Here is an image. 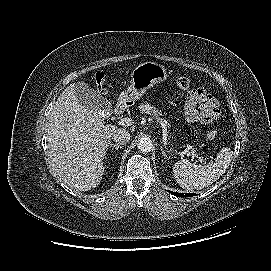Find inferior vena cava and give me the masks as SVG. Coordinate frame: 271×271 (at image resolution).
I'll use <instances>...</instances> for the list:
<instances>
[{
	"label": "inferior vena cava",
	"instance_id": "602c4592",
	"mask_svg": "<svg viewBox=\"0 0 271 271\" xmlns=\"http://www.w3.org/2000/svg\"><path fill=\"white\" fill-rule=\"evenodd\" d=\"M112 139L115 143L124 145L130 140V133L126 129L118 128L114 131Z\"/></svg>",
	"mask_w": 271,
	"mask_h": 271
}]
</instances>
